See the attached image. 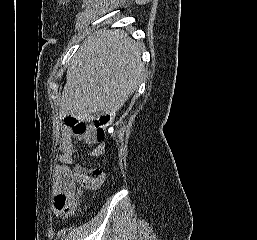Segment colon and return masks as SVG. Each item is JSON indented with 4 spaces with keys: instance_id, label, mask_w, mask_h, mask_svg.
I'll return each mask as SVG.
<instances>
[{
    "instance_id": "5ec220e1",
    "label": "colon",
    "mask_w": 257,
    "mask_h": 240,
    "mask_svg": "<svg viewBox=\"0 0 257 240\" xmlns=\"http://www.w3.org/2000/svg\"><path fill=\"white\" fill-rule=\"evenodd\" d=\"M110 122V118L107 115H103L95 119L91 124H86L74 117H67L65 119L66 127L76 135L84 134L88 129H93L99 140L105 138V127ZM104 173L101 169L97 168L93 170L91 174L84 175L80 179L82 188H91L96 186L103 178ZM80 190H74L67 194H58L55 197V206L65 213H70L78 204L80 198Z\"/></svg>"
}]
</instances>
